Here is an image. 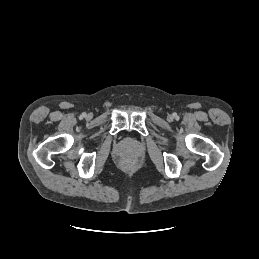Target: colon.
<instances>
[{"label":"colon","mask_w":259,"mask_h":259,"mask_svg":"<svg viewBox=\"0 0 259 259\" xmlns=\"http://www.w3.org/2000/svg\"><path fill=\"white\" fill-rule=\"evenodd\" d=\"M122 165L123 167L125 168H128L131 166V161L129 159H125L123 162H122Z\"/></svg>","instance_id":"5ec220e1"}]
</instances>
